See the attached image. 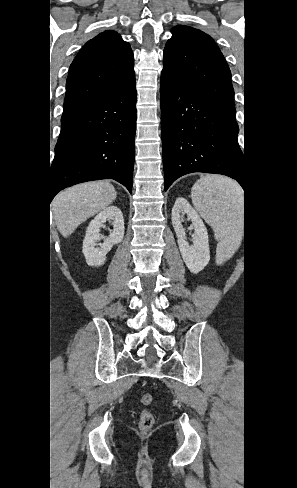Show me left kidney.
<instances>
[{
	"mask_svg": "<svg viewBox=\"0 0 297 488\" xmlns=\"http://www.w3.org/2000/svg\"><path fill=\"white\" fill-rule=\"evenodd\" d=\"M187 214L194 228L193 244L186 241V233L181 218ZM172 224L177 235L178 246L182 258L192 273H198L205 268L210 260L208 233L202 219L189 202L182 197L176 199L172 209Z\"/></svg>",
	"mask_w": 297,
	"mask_h": 488,
	"instance_id": "1",
	"label": "left kidney"
}]
</instances>
